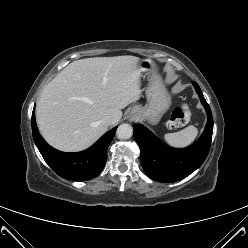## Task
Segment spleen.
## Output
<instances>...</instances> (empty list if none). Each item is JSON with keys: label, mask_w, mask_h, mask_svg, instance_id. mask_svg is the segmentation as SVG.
I'll return each mask as SVG.
<instances>
[{"label": "spleen", "mask_w": 248, "mask_h": 248, "mask_svg": "<svg viewBox=\"0 0 248 248\" xmlns=\"http://www.w3.org/2000/svg\"><path fill=\"white\" fill-rule=\"evenodd\" d=\"M197 134L198 129L195 126L190 125L179 132L165 134L164 139L170 146L181 148L193 143Z\"/></svg>", "instance_id": "1"}]
</instances>
